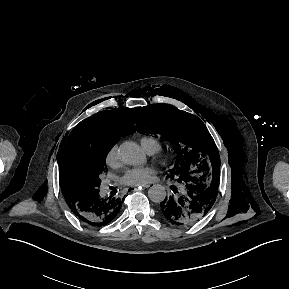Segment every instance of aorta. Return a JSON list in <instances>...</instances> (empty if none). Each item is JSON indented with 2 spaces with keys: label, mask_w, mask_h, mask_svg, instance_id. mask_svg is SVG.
I'll list each match as a JSON object with an SVG mask.
<instances>
[{
  "label": "aorta",
  "mask_w": 289,
  "mask_h": 289,
  "mask_svg": "<svg viewBox=\"0 0 289 289\" xmlns=\"http://www.w3.org/2000/svg\"><path fill=\"white\" fill-rule=\"evenodd\" d=\"M120 160L133 166H140L146 162V155L140 146L134 142H123L118 150ZM148 197L154 203H161L166 198V189L164 186L155 184L148 190Z\"/></svg>",
  "instance_id": "1"
}]
</instances>
